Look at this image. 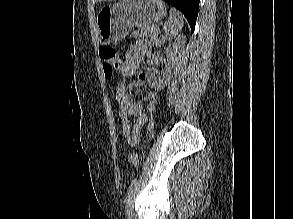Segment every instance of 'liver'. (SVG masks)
Listing matches in <instances>:
<instances>
[{
    "instance_id": "1",
    "label": "liver",
    "mask_w": 293,
    "mask_h": 219,
    "mask_svg": "<svg viewBox=\"0 0 293 219\" xmlns=\"http://www.w3.org/2000/svg\"><path fill=\"white\" fill-rule=\"evenodd\" d=\"M101 1H112V0H94V2H101Z\"/></svg>"
}]
</instances>
